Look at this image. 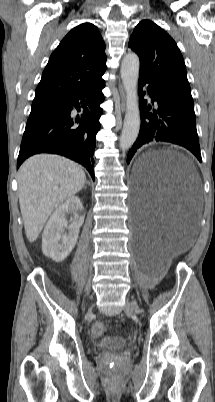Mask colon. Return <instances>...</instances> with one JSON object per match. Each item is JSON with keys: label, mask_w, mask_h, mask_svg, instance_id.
Listing matches in <instances>:
<instances>
[{"label": "colon", "mask_w": 215, "mask_h": 402, "mask_svg": "<svg viewBox=\"0 0 215 402\" xmlns=\"http://www.w3.org/2000/svg\"><path fill=\"white\" fill-rule=\"evenodd\" d=\"M105 331V326L101 322H96L92 326V333L96 336H100L104 333Z\"/></svg>", "instance_id": "5ec220e1"}]
</instances>
